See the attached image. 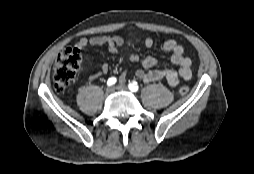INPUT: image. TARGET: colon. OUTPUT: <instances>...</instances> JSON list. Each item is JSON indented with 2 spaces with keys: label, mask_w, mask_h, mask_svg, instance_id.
Returning a JSON list of instances; mask_svg holds the SVG:
<instances>
[{
  "label": "colon",
  "mask_w": 254,
  "mask_h": 174,
  "mask_svg": "<svg viewBox=\"0 0 254 174\" xmlns=\"http://www.w3.org/2000/svg\"><path fill=\"white\" fill-rule=\"evenodd\" d=\"M81 64V52L78 48L70 47L63 50L54 65L53 69V85L56 91L66 89L76 76ZM189 88L181 86L179 92L182 95L187 94Z\"/></svg>",
  "instance_id": "obj_1"
}]
</instances>
